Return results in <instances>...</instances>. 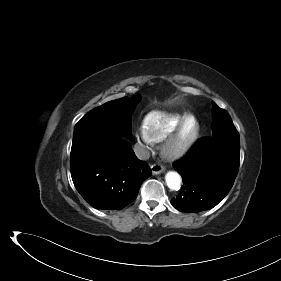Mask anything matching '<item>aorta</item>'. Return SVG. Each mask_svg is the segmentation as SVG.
Listing matches in <instances>:
<instances>
[{"mask_svg": "<svg viewBox=\"0 0 281 281\" xmlns=\"http://www.w3.org/2000/svg\"><path fill=\"white\" fill-rule=\"evenodd\" d=\"M166 184L171 190H178L181 184V176L174 171H169L165 175Z\"/></svg>", "mask_w": 281, "mask_h": 281, "instance_id": "1", "label": "aorta"}]
</instances>
